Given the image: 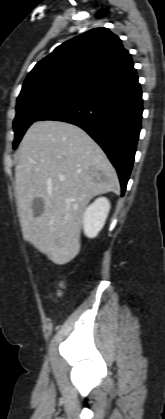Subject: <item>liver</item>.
<instances>
[{
  "label": "liver",
  "instance_id": "1",
  "mask_svg": "<svg viewBox=\"0 0 165 419\" xmlns=\"http://www.w3.org/2000/svg\"><path fill=\"white\" fill-rule=\"evenodd\" d=\"M15 167V195L23 237L57 265L80 251V229L90 200L119 191L117 173L100 146L81 128L37 121L24 135ZM44 202L35 217L32 201Z\"/></svg>",
  "mask_w": 165,
  "mask_h": 419
}]
</instances>
